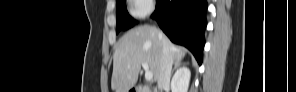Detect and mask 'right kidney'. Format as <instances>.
Instances as JSON below:
<instances>
[{
  "mask_svg": "<svg viewBox=\"0 0 296 92\" xmlns=\"http://www.w3.org/2000/svg\"><path fill=\"white\" fill-rule=\"evenodd\" d=\"M191 72L183 66L177 70L171 81L172 92H187L190 82Z\"/></svg>",
  "mask_w": 296,
  "mask_h": 92,
  "instance_id": "ca27d5eb",
  "label": "right kidney"
}]
</instances>
